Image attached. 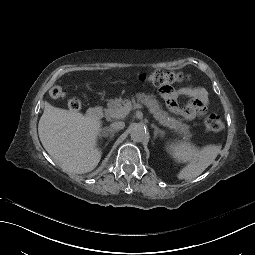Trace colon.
Segmentation results:
<instances>
[{
	"label": "colon",
	"mask_w": 255,
	"mask_h": 255,
	"mask_svg": "<svg viewBox=\"0 0 255 255\" xmlns=\"http://www.w3.org/2000/svg\"><path fill=\"white\" fill-rule=\"evenodd\" d=\"M139 79L161 87L165 91L170 85L187 80L188 76L182 72L156 70L151 73H141ZM50 96L56 100L65 99L66 91L60 86H54L50 90ZM68 107L72 111H78L81 108V102L77 98H71L68 100ZM204 125L207 131L218 132L223 128V121L219 115L210 114L205 118Z\"/></svg>",
	"instance_id": "1"
}]
</instances>
